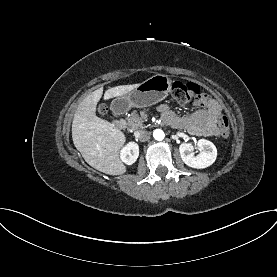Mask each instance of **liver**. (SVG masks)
Listing matches in <instances>:
<instances>
[{
  "label": "liver",
  "mask_w": 277,
  "mask_h": 277,
  "mask_svg": "<svg viewBox=\"0 0 277 277\" xmlns=\"http://www.w3.org/2000/svg\"><path fill=\"white\" fill-rule=\"evenodd\" d=\"M138 85L110 88L105 91L104 98L123 96ZM102 95L103 87L87 95L78 105L72 122V139L91 167L108 175H121L126 172V166L119 158V153L126 137L114 124L96 116V106Z\"/></svg>",
  "instance_id": "1"
}]
</instances>
